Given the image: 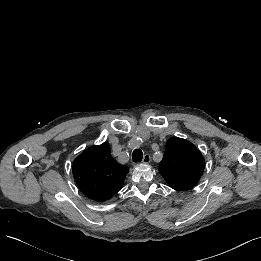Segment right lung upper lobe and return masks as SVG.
Here are the masks:
<instances>
[{"label":"right lung upper lobe","instance_id":"right-lung-upper-lobe-1","mask_svg":"<svg viewBox=\"0 0 261 261\" xmlns=\"http://www.w3.org/2000/svg\"><path fill=\"white\" fill-rule=\"evenodd\" d=\"M128 172L127 166L111 157L107 143L86 149L73 162V176L79 189L98 202L119 192Z\"/></svg>","mask_w":261,"mask_h":261}]
</instances>
